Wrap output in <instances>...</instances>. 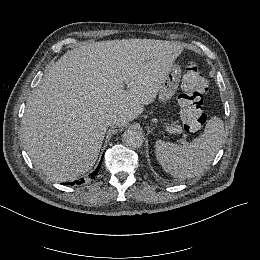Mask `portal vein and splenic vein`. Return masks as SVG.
I'll return each mask as SVG.
<instances>
[{"label": "portal vein and splenic vein", "instance_id": "18ae733b", "mask_svg": "<svg viewBox=\"0 0 260 260\" xmlns=\"http://www.w3.org/2000/svg\"><path fill=\"white\" fill-rule=\"evenodd\" d=\"M166 131L169 133H181L180 131H178L175 127H166ZM186 139V135H184V137L182 138V142H185Z\"/></svg>", "mask_w": 260, "mask_h": 260}]
</instances>
